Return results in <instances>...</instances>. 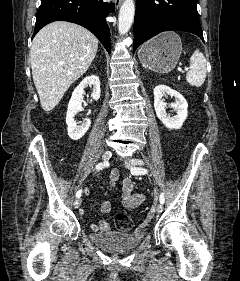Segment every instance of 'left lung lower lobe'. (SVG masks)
I'll return each instance as SVG.
<instances>
[{
  "instance_id": "obj_1",
  "label": "left lung lower lobe",
  "mask_w": 240,
  "mask_h": 281,
  "mask_svg": "<svg viewBox=\"0 0 240 281\" xmlns=\"http://www.w3.org/2000/svg\"><path fill=\"white\" fill-rule=\"evenodd\" d=\"M196 4L197 0H137L133 52L163 31L190 32L204 41Z\"/></svg>"
}]
</instances>
